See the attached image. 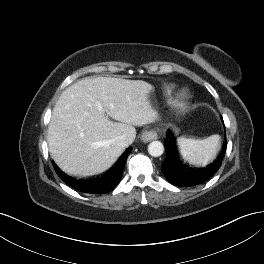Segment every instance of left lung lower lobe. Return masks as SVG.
Returning a JSON list of instances; mask_svg holds the SVG:
<instances>
[{"label":"left lung lower lobe","mask_w":264,"mask_h":264,"mask_svg":"<svg viewBox=\"0 0 264 264\" xmlns=\"http://www.w3.org/2000/svg\"><path fill=\"white\" fill-rule=\"evenodd\" d=\"M167 137L168 139L165 140L167 157L161 168L164 176L171 184L176 186H195L201 184L208 180L221 167L226 152V144L213 163L204 168H194L181 161L176 149V141L173 139L174 137L171 132L167 133Z\"/></svg>","instance_id":"left-lung-lower-lobe-1"}]
</instances>
